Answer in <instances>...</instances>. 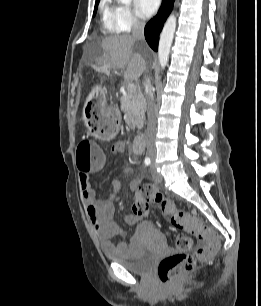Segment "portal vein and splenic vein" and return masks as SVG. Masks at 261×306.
Wrapping results in <instances>:
<instances>
[{"mask_svg": "<svg viewBox=\"0 0 261 306\" xmlns=\"http://www.w3.org/2000/svg\"><path fill=\"white\" fill-rule=\"evenodd\" d=\"M127 89L130 91H136V86L133 83H128L127 84Z\"/></svg>", "mask_w": 261, "mask_h": 306, "instance_id": "portal-vein-and-splenic-vein-1", "label": "portal vein and splenic vein"}]
</instances>
